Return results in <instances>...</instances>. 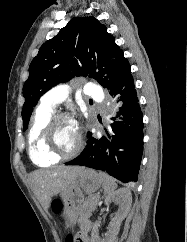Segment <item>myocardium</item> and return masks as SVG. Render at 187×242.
Wrapping results in <instances>:
<instances>
[{"label": "myocardium", "mask_w": 187, "mask_h": 242, "mask_svg": "<svg viewBox=\"0 0 187 242\" xmlns=\"http://www.w3.org/2000/svg\"><path fill=\"white\" fill-rule=\"evenodd\" d=\"M64 120L70 121L76 126V121L72 115H70L69 113H66V112H57V113H54L49 118L47 124L44 127L43 133H42V144H43V147H44L46 153L48 155L56 157L58 159L72 158V157L76 156L83 147V137L77 126H76V129H77V134H78V140H77V144L74 147V149H72L69 152H60L53 146L54 129L60 121H64Z\"/></svg>", "instance_id": "myocardium-1"}]
</instances>
